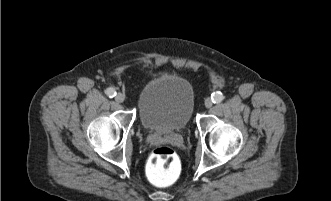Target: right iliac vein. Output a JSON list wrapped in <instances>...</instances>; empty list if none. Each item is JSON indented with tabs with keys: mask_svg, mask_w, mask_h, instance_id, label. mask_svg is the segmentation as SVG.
Segmentation results:
<instances>
[{
	"mask_svg": "<svg viewBox=\"0 0 331 201\" xmlns=\"http://www.w3.org/2000/svg\"><path fill=\"white\" fill-rule=\"evenodd\" d=\"M125 97L122 93H117L116 97H115V101L117 103H122L124 101Z\"/></svg>",
	"mask_w": 331,
	"mask_h": 201,
	"instance_id": "1",
	"label": "right iliac vein"
}]
</instances>
